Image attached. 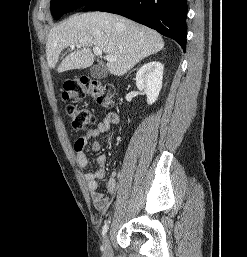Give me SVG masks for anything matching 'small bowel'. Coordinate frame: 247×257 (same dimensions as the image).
Returning <instances> with one entry per match:
<instances>
[{
    "mask_svg": "<svg viewBox=\"0 0 247 257\" xmlns=\"http://www.w3.org/2000/svg\"><path fill=\"white\" fill-rule=\"evenodd\" d=\"M119 123V115L115 112L108 113L95 128L88 130L83 136L78 138L75 142L74 149L76 154V160L80 167L88 168L89 160L86 155V146L101 133L106 132L112 125ZM102 143L100 141H93L91 143V151L97 152L101 149ZM98 169L94 172H88L85 174V180L88 184L90 195L95 208L99 211H106L109 205V197L99 190V180H102L106 176V164L107 158L105 155H99L97 157ZM117 189V173L113 172L112 176L107 182V190L110 194L115 193Z\"/></svg>",
    "mask_w": 247,
    "mask_h": 257,
    "instance_id": "obj_1",
    "label": "small bowel"
}]
</instances>
